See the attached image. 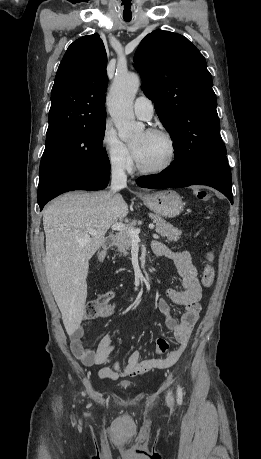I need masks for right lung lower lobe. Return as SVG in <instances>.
Here are the masks:
<instances>
[{
	"label": "right lung lower lobe",
	"instance_id": "1",
	"mask_svg": "<svg viewBox=\"0 0 261 459\" xmlns=\"http://www.w3.org/2000/svg\"><path fill=\"white\" fill-rule=\"evenodd\" d=\"M109 177V171H79L64 176L51 184L42 194L38 195L37 201L40 210L43 209L48 201L67 191L104 189L108 185Z\"/></svg>",
	"mask_w": 261,
	"mask_h": 459
}]
</instances>
